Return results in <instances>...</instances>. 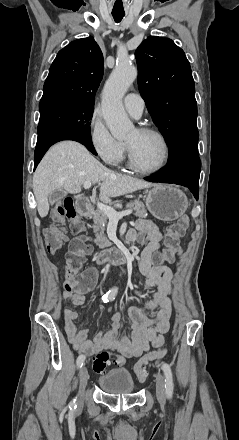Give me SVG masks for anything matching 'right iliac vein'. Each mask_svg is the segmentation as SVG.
I'll use <instances>...</instances> for the list:
<instances>
[{
	"label": "right iliac vein",
	"mask_w": 239,
	"mask_h": 440,
	"mask_svg": "<svg viewBox=\"0 0 239 440\" xmlns=\"http://www.w3.org/2000/svg\"><path fill=\"white\" fill-rule=\"evenodd\" d=\"M88 378H89V376H88V371H87L86 367L85 366L81 367V369L79 371V380H80L79 395L81 398L84 396Z\"/></svg>",
	"instance_id": "right-iliac-vein-1"
}]
</instances>
